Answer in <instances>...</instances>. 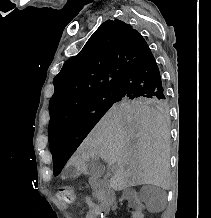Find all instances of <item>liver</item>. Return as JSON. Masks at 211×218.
Segmentation results:
<instances>
[{
    "instance_id": "1",
    "label": "liver",
    "mask_w": 211,
    "mask_h": 218,
    "mask_svg": "<svg viewBox=\"0 0 211 218\" xmlns=\"http://www.w3.org/2000/svg\"><path fill=\"white\" fill-rule=\"evenodd\" d=\"M90 158H104L119 170L111 180L114 190L153 184L169 190V130L160 112L114 104L88 134L70 164L87 174Z\"/></svg>"
}]
</instances>
